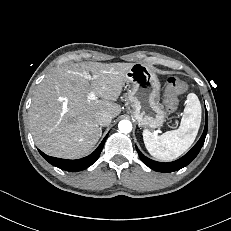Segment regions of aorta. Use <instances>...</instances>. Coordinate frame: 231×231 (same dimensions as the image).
I'll use <instances>...</instances> for the list:
<instances>
[{
	"instance_id": "1",
	"label": "aorta",
	"mask_w": 231,
	"mask_h": 231,
	"mask_svg": "<svg viewBox=\"0 0 231 231\" xmlns=\"http://www.w3.org/2000/svg\"><path fill=\"white\" fill-rule=\"evenodd\" d=\"M118 128L122 133H130L132 130V123L129 120H121L118 124Z\"/></svg>"
}]
</instances>
